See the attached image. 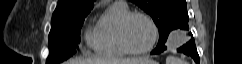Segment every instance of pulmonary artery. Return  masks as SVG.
Masks as SVG:
<instances>
[{"mask_svg": "<svg viewBox=\"0 0 242 64\" xmlns=\"http://www.w3.org/2000/svg\"><path fill=\"white\" fill-rule=\"evenodd\" d=\"M115 3H118V4H121V5H126V2L125 1H116Z\"/></svg>", "mask_w": 242, "mask_h": 64, "instance_id": "1", "label": "pulmonary artery"}]
</instances>
